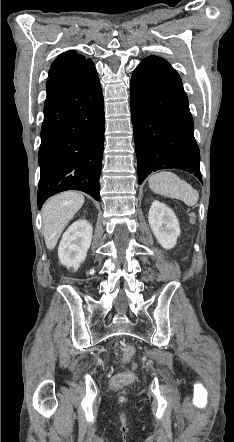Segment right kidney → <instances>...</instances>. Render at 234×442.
<instances>
[{"label": "right kidney", "mask_w": 234, "mask_h": 442, "mask_svg": "<svg viewBox=\"0 0 234 442\" xmlns=\"http://www.w3.org/2000/svg\"><path fill=\"white\" fill-rule=\"evenodd\" d=\"M93 228L91 224L80 219L67 228L58 247L61 264L77 270L85 260L91 245Z\"/></svg>", "instance_id": "right-kidney-1"}]
</instances>
